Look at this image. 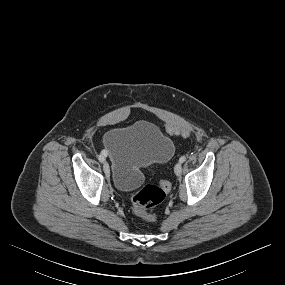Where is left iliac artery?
I'll return each mask as SVG.
<instances>
[{"label":"left iliac artery","mask_w":285,"mask_h":285,"mask_svg":"<svg viewBox=\"0 0 285 285\" xmlns=\"http://www.w3.org/2000/svg\"><path fill=\"white\" fill-rule=\"evenodd\" d=\"M185 160H186V157L185 156H181L180 159H179V162L183 163Z\"/></svg>","instance_id":"obj_1"}]
</instances>
